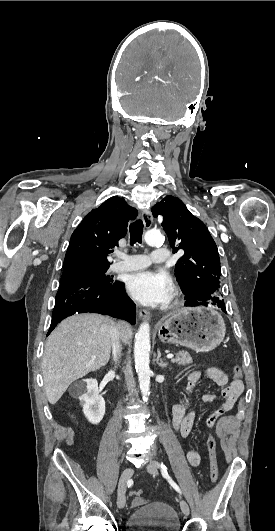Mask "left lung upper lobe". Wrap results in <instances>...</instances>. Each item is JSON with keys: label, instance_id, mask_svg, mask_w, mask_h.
Here are the masks:
<instances>
[{"label": "left lung upper lobe", "instance_id": "5c2ea615", "mask_svg": "<svg viewBox=\"0 0 275 531\" xmlns=\"http://www.w3.org/2000/svg\"><path fill=\"white\" fill-rule=\"evenodd\" d=\"M152 212L155 217H163L173 251L184 252L175 265V276L185 294V306L212 305L226 312L220 292L218 249L205 224L174 196H166Z\"/></svg>", "mask_w": 275, "mask_h": 531}]
</instances>
